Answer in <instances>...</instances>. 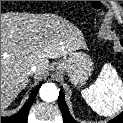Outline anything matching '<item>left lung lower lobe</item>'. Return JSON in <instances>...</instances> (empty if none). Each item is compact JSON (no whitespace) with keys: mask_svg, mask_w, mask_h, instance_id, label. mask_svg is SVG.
Here are the masks:
<instances>
[{"mask_svg":"<svg viewBox=\"0 0 123 123\" xmlns=\"http://www.w3.org/2000/svg\"><path fill=\"white\" fill-rule=\"evenodd\" d=\"M121 45L123 46V40L121 41ZM58 100H59V106H60V109H61V112L63 115L64 123H78L70 115V112L68 110V107H67L65 99H64L63 91H60ZM108 123H123V112L120 115H118L117 117H115L114 119H112L111 121H109Z\"/></svg>","mask_w":123,"mask_h":123,"instance_id":"1","label":"left lung lower lobe"}]
</instances>
